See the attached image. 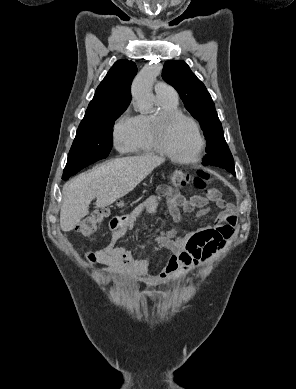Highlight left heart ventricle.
<instances>
[{
    "label": "left heart ventricle",
    "instance_id": "b2bd125f",
    "mask_svg": "<svg viewBox=\"0 0 296 389\" xmlns=\"http://www.w3.org/2000/svg\"><path fill=\"white\" fill-rule=\"evenodd\" d=\"M199 140L193 125L184 119L175 121L168 132V146L178 157L191 158L195 155Z\"/></svg>",
    "mask_w": 296,
    "mask_h": 389
}]
</instances>
